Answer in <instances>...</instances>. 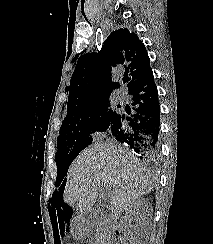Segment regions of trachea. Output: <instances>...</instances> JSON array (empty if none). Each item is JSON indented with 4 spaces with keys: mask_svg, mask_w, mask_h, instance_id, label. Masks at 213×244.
Returning a JSON list of instances; mask_svg holds the SVG:
<instances>
[{
    "mask_svg": "<svg viewBox=\"0 0 213 244\" xmlns=\"http://www.w3.org/2000/svg\"><path fill=\"white\" fill-rule=\"evenodd\" d=\"M128 80H129L128 78H124L123 83H126Z\"/></svg>",
    "mask_w": 213,
    "mask_h": 244,
    "instance_id": "3493384b",
    "label": "trachea"
}]
</instances>
